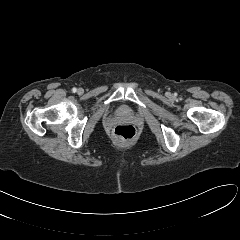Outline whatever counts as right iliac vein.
Listing matches in <instances>:
<instances>
[{
    "instance_id": "obj_1",
    "label": "right iliac vein",
    "mask_w": 240,
    "mask_h": 240,
    "mask_svg": "<svg viewBox=\"0 0 240 240\" xmlns=\"http://www.w3.org/2000/svg\"><path fill=\"white\" fill-rule=\"evenodd\" d=\"M78 93H82V89L80 88V89H78Z\"/></svg>"
}]
</instances>
